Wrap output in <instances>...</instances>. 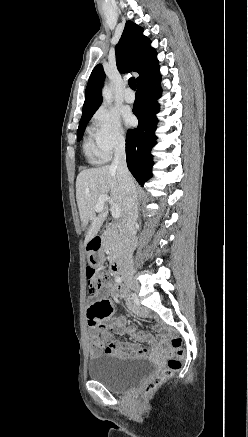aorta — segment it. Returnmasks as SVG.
I'll return each mask as SVG.
<instances>
[{
  "label": "aorta",
  "instance_id": "762f6f07",
  "mask_svg": "<svg viewBox=\"0 0 248 437\" xmlns=\"http://www.w3.org/2000/svg\"><path fill=\"white\" fill-rule=\"evenodd\" d=\"M102 96L104 100V104H110L112 102V94L108 87H104L102 90Z\"/></svg>",
  "mask_w": 248,
  "mask_h": 437
}]
</instances>
